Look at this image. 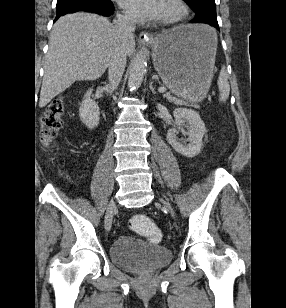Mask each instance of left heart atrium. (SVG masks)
<instances>
[{
  "mask_svg": "<svg viewBox=\"0 0 286 308\" xmlns=\"http://www.w3.org/2000/svg\"><path fill=\"white\" fill-rule=\"evenodd\" d=\"M163 0H119L120 6L135 19H158Z\"/></svg>",
  "mask_w": 286,
  "mask_h": 308,
  "instance_id": "obj_1",
  "label": "left heart atrium"
}]
</instances>
